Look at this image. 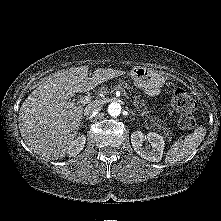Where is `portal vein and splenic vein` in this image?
I'll return each mask as SVG.
<instances>
[{"label": "portal vein and splenic vein", "instance_id": "18ae733b", "mask_svg": "<svg viewBox=\"0 0 221 221\" xmlns=\"http://www.w3.org/2000/svg\"><path fill=\"white\" fill-rule=\"evenodd\" d=\"M123 91V90H122ZM91 101V97L88 95V96H84L82 97L79 102L82 103V104H87Z\"/></svg>", "mask_w": 221, "mask_h": 221}]
</instances>
